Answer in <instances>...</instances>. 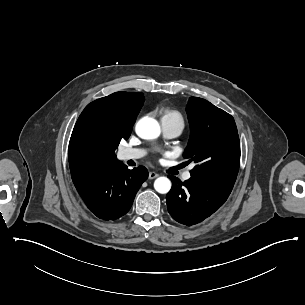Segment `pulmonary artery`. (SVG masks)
Here are the masks:
<instances>
[{
	"label": "pulmonary artery",
	"mask_w": 305,
	"mask_h": 305,
	"mask_svg": "<svg viewBox=\"0 0 305 305\" xmlns=\"http://www.w3.org/2000/svg\"><path fill=\"white\" fill-rule=\"evenodd\" d=\"M161 126L163 134L168 138H174L179 136L184 129V122L178 119L162 118ZM146 155L144 149L128 148L121 152V159L124 161L137 160ZM183 180L191 179L190 172H186L182 176Z\"/></svg>",
	"instance_id": "1"
}]
</instances>
